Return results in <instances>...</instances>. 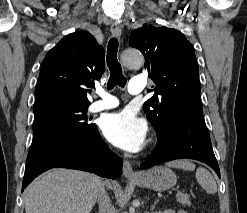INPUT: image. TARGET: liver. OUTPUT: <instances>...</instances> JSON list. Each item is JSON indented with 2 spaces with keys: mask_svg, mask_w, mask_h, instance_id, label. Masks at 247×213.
<instances>
[{
  "mask_svg": "<svg viewBox=\"0 0 247 213\" xmlns=\"http://www.w3.org/2000/svg\"><path fill=\"white\" fill-rule=\"evenodd\" d=\"M101 184V178L95 174L51 169L25 189V212L90 213Z\"/></svg>",
  "mask_w": 247,
  "mask_h": 213,
  "instance_id": "liver-1",
  "label": "liver"
}]
</instances>
